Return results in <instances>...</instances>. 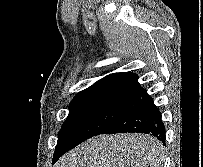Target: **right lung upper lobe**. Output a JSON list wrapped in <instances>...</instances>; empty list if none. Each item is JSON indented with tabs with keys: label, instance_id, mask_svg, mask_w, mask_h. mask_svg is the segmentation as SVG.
Segmentation results:
<instances>
[{
	"label": "right lung upper lobe",
	"instance_id": "right-lung-upper-lobe-1",
	"mask_svg": "<svg viewBox=\"0 0 203 167\" xmlns=\"http://www.w3.org/2000/svg\"><path fill=\"white\" fill-rule=\"evenodd\" d=\"M148 94L138 83V75L131 72L110 74L78 93L74 101H107L132 107Z\"/></svg>",
	"mask_w": 203,
	"mask_h": 167
}]
</instances>
